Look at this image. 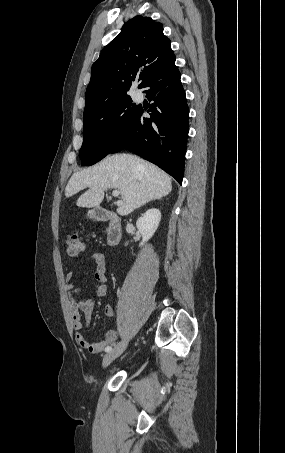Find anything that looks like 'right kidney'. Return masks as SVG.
I'll use <instances>...</instances> for the list:
<instances>
[{
  "mask_svg": "<svg viewBox=\"0 0 285 453\" xmlns=\"http://www.w3.org/2000/svg\"><path fill=\"white\" fill-rule=\"evenodd\" d=\"M161 220V212L156 208L147 210L136 222V227L142 235V242L139 246H143L157 230Z\"/></svg>",
  "mask_w": 285,
  "mask_h": 453,
  "instance_id": "obj_1",
  "label": "right kidney"
}]
</instances>
